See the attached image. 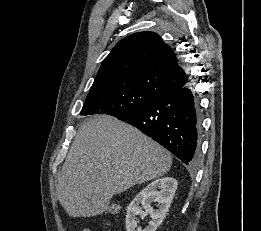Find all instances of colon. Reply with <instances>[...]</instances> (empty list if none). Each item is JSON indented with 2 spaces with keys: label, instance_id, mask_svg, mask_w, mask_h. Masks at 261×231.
I'll return each mask as SVG.
<instances>
[{
  "label": "colon",
  "instance_id": "obj_1",
  "mask_svg": "<svg viewBox=\"0 0 261 231\" xmlns=\"http://www.w3.org/2000/svg\"><path fill=\"white\" fill-rule=\"evenodd\" d=\"M104 212H105V214H116L119 212V209L116 205L112 204V205L108 206L107 208H105Z\"/></svg>",
  "mask_w": 261,
  "mask_h": 231
}]
</instances>
